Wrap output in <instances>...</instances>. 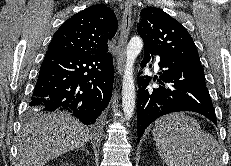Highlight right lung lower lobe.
<instances>
[{
    "label": "right lung lower lobe",
    "instance_id": "1",
    "mask_svg": "<svg viewBox=\"0 0 231 166\" xmlns=\"http://www.w3.org/2000/svg\"><path fill=\"white\" fill-rule=\"evenodd\" d=\"M112 54L46 52L31 101L32 111H68L85 125L99 122L112 94Z\"/></svg>",
    "mask_w": 231,
    "mask_h": 166
}]
</instances>
